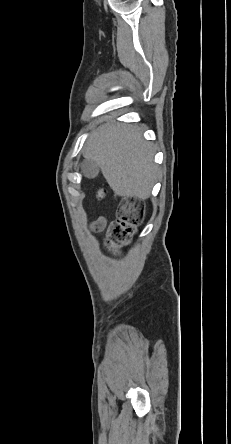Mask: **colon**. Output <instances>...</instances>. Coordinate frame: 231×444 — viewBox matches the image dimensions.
<instances>
[{"mask_svg":"<svg viewBox=\"0 0 231 444\" xmlns=\"http://www.w3.org/2000/svg\"><path fill=\"white\" fill-rule=\"evenodd\" d=\"M143 214L144 207L140 201H126L118 219L107 227V248L115 250L128 244L136 227L141 223ZM91 228L95 232H100L106 228V223L103 219H99L92 223Z\"/></svg>","mask_w":231,"mask_h":444,"instance_id":"colon-1","label":"colon"}]
</instances>
